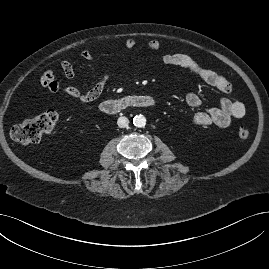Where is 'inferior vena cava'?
<instances>
[{
  "label": "inferior vena cava",
  "mask_w": 269,
  "mask_h": 269,
  "mask_svg": "<svg viewBox=\"0 0 269 269\" xmlns=\"http://www.w3.org/2000/svg\"><path fill=\"white\" fill-rule=\"evenodd\" d=\"M117 124L120 128H125L128 126L129 124V120L127 117H119L118 120H117Z\"/></svg>",
  "instance_id": "602c4592"
}]
</instances>
